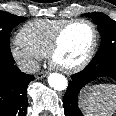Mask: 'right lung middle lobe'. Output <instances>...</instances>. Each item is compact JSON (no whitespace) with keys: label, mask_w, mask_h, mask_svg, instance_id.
Returning <instances> with one entry per match:
<instances>
[{"label":"right lung middle lobe","mask_w":116,"mask_h":116,"mask_svg":"<svg viewBox=\"0 0 116 116\" xmlns=\"http://www.w3.org/2000/svg\"><path fill=\"white\" fill-rule=\"evenodd\" d=\"M26 19V17H19L0 11V67L13 61L9 46L10 33L15 26Z\"/></svg>","instance_id":"dd1d6c3e"}]
</instances>
